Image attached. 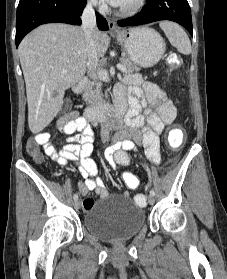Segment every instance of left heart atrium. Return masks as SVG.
Masks as SVG:
<instances>
[{
  "label": "left heart atrium",
  "mask_w": 227,
  "mask_h": 279,
  "mask_svg": "<svg viewBox=\"0 0 227 279\" xmlns=\"http://www.w3.org/2000/svg\"><path fill=\"white\" fill-rule=\"evenodd\" d=\"M103 1H107L108 3L114 6H120L124 0H103Z\"/></svg>",
  "instance_id": "left-heart-atrium-1"
}]
</instances>
